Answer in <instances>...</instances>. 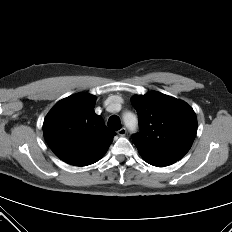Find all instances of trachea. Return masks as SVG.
Returning <instances> with one entry per match:
<instances>
[{"label":"trachea","instance_id":"3493384b","mask_svg":"<svg viewBox=\"0 0 232 232\" xmlns=\"http://www.w3.org/2000/svg\"><path fill=\"white\" fill-rule=\"evenodd\" d=\"M108 127L114 131L121 129L122 126L119 117L116 115H112L108 120Z\"/></svg>","mask_w":232,"mask_h":232}]
</instances>
